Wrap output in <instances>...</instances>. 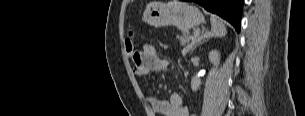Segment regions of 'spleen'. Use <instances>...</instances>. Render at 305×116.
Masks as SVG:
<instances>
[{"instance_id": "spleen-1", "label": "spleen", "mask_w": 305, "mask_h": 116, "mask_svg": "<svg viewBox=\"0 0 305 116\" xmlns=\"http://www.w3.org/2000/svg\"><path fill=\"white\" fill-rule=\"evenodd\" d=\"M211 21V36L222 37L227 33L226 27L223 21L216 15L210 17Z\"/></svg>"}]
</instances>
